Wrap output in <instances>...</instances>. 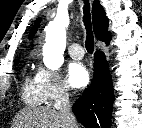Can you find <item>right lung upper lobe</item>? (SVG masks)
<instances>
[{
    "mask_svg": "<svg viewBox=\"0 0 142 128\" xmlns=\"http://www.w3.org/2000/svg\"><path fill=\"white\" fill-rule=\"evenodd\" d=\"M92 20L96 37L107 43L111 38V35L108 32V18L106 17L105 11L98 0H95L92 6ZM38 24L39 20L35 22V25L30 32V37L34 36V33L38 28Z\"/></svg>",
    "mask_w": 142,
    "mask_h": 128,
    "instance_id": "right-lung-upper-lobe-1",
    "label": "right lung upper lobe"
}]
</instances>
